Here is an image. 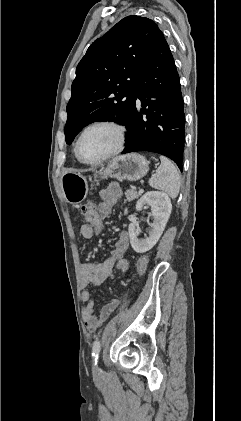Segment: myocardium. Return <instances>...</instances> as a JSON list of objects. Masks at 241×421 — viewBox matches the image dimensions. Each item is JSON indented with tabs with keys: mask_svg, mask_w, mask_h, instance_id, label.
<instances>
[{
	"mask_svg": "<svg viewBox=\"0 0 241 421\" xmlns=\"http://www.w3.org/2000/svg\"><path fill=\"white\" fill-rule=\"evenodd\" d=\"M99 126H107V127H110L112 129H114L116 134H117V144L110 152H108L107 154H105L101 158H99L97 160H93V161L85 160L80 155L79 147H80L81 139L83 138V136L85 135V133L87 131H89L92 128L99 127ZM126 136H127L126 128L122 124H120L116 121L99 120V121L93 122V123L89 124L88 126H86L81 131V133L79 134V136L76 140V143H75V155H76L77 159L84 164L99 165V164L107 161L108 159L116 156L117 154H119L124 149V146H125V143H126Z\"/></svg>",
	"mask_w": 241,
	"mask_h": 421,
	"instance_id": "myocardium-1",
	"label": "myocardium"
}]
</instances>
